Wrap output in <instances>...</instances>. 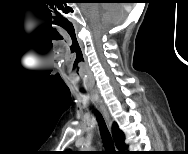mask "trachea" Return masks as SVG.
Returning a JSON list of instances; mask_svg holds the SVG:
<instances>
[{
  "label": "trachea",
  "mask_w": 188,
  "mask_h": 154,
  "mask_svg": "<svg viewBox=\"0 0 188 154\" xmlns=\"http://www.w3.org/2000/svg\"><path fill=\"white\" fill-rule=\"evenodd\" d=\"M95 115L97 116L99 128H100V134L102 137L103 145L105 148V151H103L105 154H115L116 150L110 135V132L106 126V123L100 113L98 111L94 110Z\"/></svg>",
  "instance_id": "obj_1"
}]
</instances>
